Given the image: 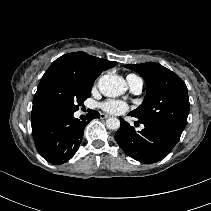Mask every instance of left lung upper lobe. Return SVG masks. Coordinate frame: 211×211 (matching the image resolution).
<instances>
[{
	"instance_id": "left-lung-upper-lobe-1",
	"label": "left lung upper lobe",
	"mask_w": 211,
	"mask_h": 211,
	"mask_svg": "<svg viewBox=\"0 0 211 211\" xmlns=\"http://www.w3.org/2000/svg\"><path fill=\"white\" fill-rule=\"evenodd\" d=\"M125 67L139 73L147 87L143 103L130 115L142 123L161 125L181 135L190 108L183 80L158 63L127 64Z\"/></svg>"
}]
</instances>
